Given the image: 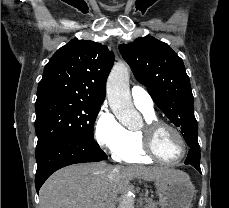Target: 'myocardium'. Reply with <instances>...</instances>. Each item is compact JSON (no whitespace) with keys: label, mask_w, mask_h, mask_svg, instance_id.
I'll use <instances>...</instances> for the list:
<instances>
[{"label":"myocardium","mask_w":229,"mask_h":208,"mask_svg":"<svg viewBox=\"0 0 229 208\" xmlns=\"http://www.w3.org/2000/svg\"><path fill=\"white\" fill-rule=\"evenodd\" d=\"M162 128H168L169 135H172V139H174L175 143H178V147H185V153L182 157L176 160H161V157H157V152H153V144L152 139H156V135L159 130ZM142 137L144 138L145 143H142L141 152L145 153V158H154L155 160L164 163V164H178L186 159L191 150V144L189 143L187 137L183 134V132L176 126L167 123L165 121H161L158 119L147 120L143 126V128L139 131ZM184 141V142H183Z\"/></svg>","instance_id":"obj_1"}]
</instances>
